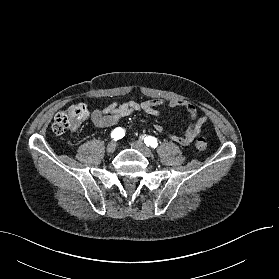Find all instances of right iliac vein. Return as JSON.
Returning a JSON list of instances; mask_svg holds the SVG:
<instances>
[{"label":"right iliac vein","mask_w":279,"mask_h":279,"mask_svg":"<svg viewBox=\"0 0 279 279\" xmlns=\"http://www.w3.org/2000/svg\"><path fill=\"white\" fill-rule=\"evenodd\" d=\"M115 149H116V143L114 141L110 142L106 147V151L108 154L114 153Z\"/></svg>","instance_id":"right-iliac-vein-1"}]
</instances>
